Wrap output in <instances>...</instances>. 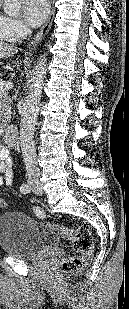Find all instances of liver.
I'll use <instances>...</instances> for the list:
<instances>
[{
	"label": "liver",
	"instance_id": "obj_1",
	"mask_svg": "<svg viewBox=\"0 0 129 309\" xmlns=\"http://www.w3.org/2000/svg\"><path fill=\"white\" fill-rule=\"evenodd\" d=\"M18 52V48L14 45L0 42V59H6Z\"/></svg>",
	"mask_w": 129,
	"mask_h": 309
}]
</instances>
